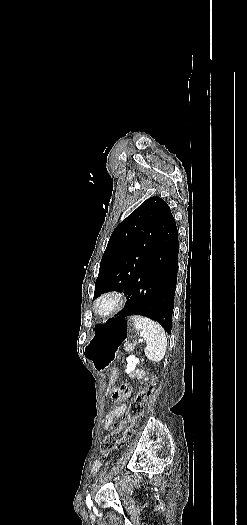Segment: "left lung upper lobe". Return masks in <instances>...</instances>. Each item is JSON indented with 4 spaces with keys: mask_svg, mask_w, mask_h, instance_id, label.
Masks as SVG:
<instances>
[{
    "mask_svg": "<svg viewBox=\"0 0 247 525\" xmlns=\"http://www.w3.org/2000/svg\"><path fill=\"white\" fill-rule=\"evenodd\" d=\"M173 218L163 199L150 197L114 229L101 259L93 299L110 290L128 292L154 241Z\"/></svg>",
    "mask_w": 247,
    "mask_h": 525,
    "instance_id": "left-lung-upper-lobe-1",
    "label": "left lung upper lobe"
}]
</instances>
